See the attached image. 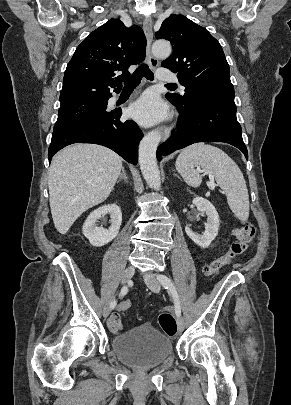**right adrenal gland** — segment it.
Here are the masks:
<instances>
[{"label": "right adrenal gland", "mask_w": 291, "mask_h": 405, "mask_svg": "<svg viewBox=\"0 0 291 405\" xmlns=\"http://www.w3.org/2000/svg\"><path fill=\"white\" fill-rule=\"evenodd\" d=\"M122 179H124L125 182L128 183V178H127V175H126V172H125V168H124V167H122V172H121V174H120V176H119L118 182H120Z\"/></svg>", "instance_id": "2a0ac1e0"}]
</instances>
